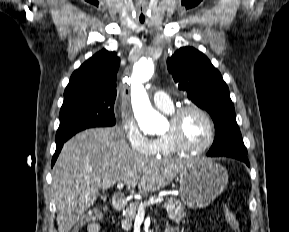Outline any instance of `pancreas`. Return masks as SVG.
<instances>
[{
    "label": "pancreas",
    "instance_id": "obj_1",
    "mask_svg": "<svg viewBox=\"0 0 289 232\" xmlns=\"http://www.w3.org/2000/svg\"><path fill=\"white\" fill-rule=\"evenodd\" d=\"M155 198V196L150 197V199ZM139 204L140 202L130 203V205L124 210V219L121 221V225L124 230L128 231L131 229L132 221L136 217ZM162 207L166 209L169 219L176 223L181 222L182 219L186 216V212L184 211L182 203L175 198L168 199V201L165 202Z\"/></svg>",
    "mask_w": 289,
    "mask_h": 232
}]
</instances>
